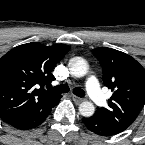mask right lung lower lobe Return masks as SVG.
Instances as JSON below:
<instances>
[{
    "label": "right lung lower lobe",
    "instance_id": "obj_1",
    "mask_svg": "<svg viewBox=\"0 0 145 145\" xmlns=\"http://www.w3.org/2000/svg\"><path fill=\"white\" fill-rule=\"evenodd\" d=\"M60 98L61 97H59L58 99H56L55 101H53L52 103H50L49 105L45 106L37 112L21 115L8 121L7 123L10 126L19 130H29L35 128L45 121L47 116L50 114L52 108L59 103Z\"/></svg>",
    "mask_w": 145,
    "mask_h": 145
}]
</instances>
